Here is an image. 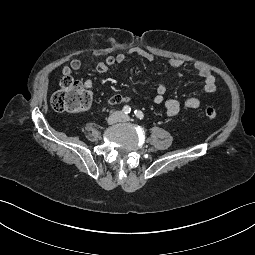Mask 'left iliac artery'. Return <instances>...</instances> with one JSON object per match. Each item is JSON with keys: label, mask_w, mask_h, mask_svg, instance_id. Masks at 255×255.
Listing matches in <instances>:
<instances>
[{"label": "left iliac artery", "mask_w": 255, "mask_h": 255, "mask_svg": "<svg viewBox=\"0 0 255 255\" xmlns=\"http://www.w3.org/2000/svg\"><path fill=\"white\" fill-rule=\"evenodd\" d=\"M134 114L140 120H142L144 118V114L140 110H135Z\"/></svg>", "instance_id": "obj_1"}]
</instances>
